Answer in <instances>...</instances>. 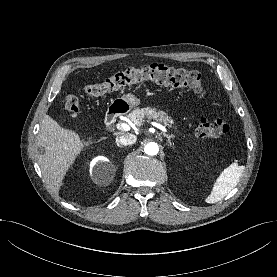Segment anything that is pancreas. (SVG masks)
<instances>
[{"label": "pancreas", "instance_id": "1", "mask_svg": "<svg viewBox=\"0 0 277 277\" xmlns=\"http://www.w3.org/2000/svg\"><path fill=\"white\" fill-rule=\"evenodd\" d=\"M127 117L137 126H141L143 124L145 117L157 119L168 127H172L174 124V120L164 111L150 107L141 109L136 108Z\"/></svg>", "mask_w": 277, "mask_h": 277}]
</instances>
